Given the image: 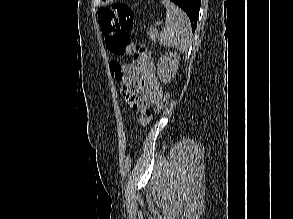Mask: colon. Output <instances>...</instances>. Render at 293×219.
Masks as SVG:
<instances>
[{"label": "colon", "instance_id": "obj_1", "mask_svg": "<svg viewBox=\"0 0 293 219\" xmlns=\"http://www.w3.org/2000/svg\"><path fill=\"white\" fill-rule=\"evenodd\" d=\"M99 26L107 48L115 55H131L133 60L128 65H122L118 60L110 61V69L117 80L121 81L127 71L136 70L149 61L146 48L134 44L130 40L128 30L134 24V14L131 8L124 3H115L110 7L98 10ZM169 93L166 92L155 106V113H159L169 102Z\"/></svg>", "mask_w": 293, "mask_h": 219}]
</instances>
